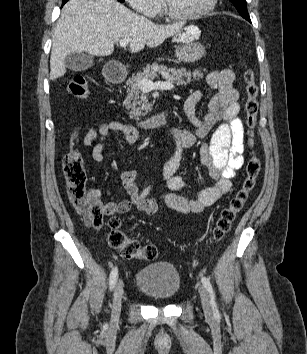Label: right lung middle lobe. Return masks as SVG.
Segmentation results:
<instances>
[{
  "mask_svg": "<svg viewBox=\"0 0 307 354\" xmlns=\"http://www.w3.org/2000/svg\"><path fill=\"white\" fill-rule=\"evenodd\" d=\"M118 1H120V2H124V0H118Z\"/></svg>",
  "mask_w": 307,
  "mask_h": 354,
  "instance_id": "obj_1",
  "label": "right lung middle lobe"
}]
</instances>
